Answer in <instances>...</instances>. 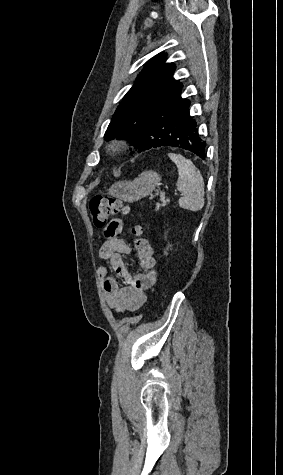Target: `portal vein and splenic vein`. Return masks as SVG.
I'll return each instance as SVG.
<instances>
[{
    "instance_id": "1",
    "label": "portal vein and splenic vein",
    "mask_w": 283,
    "mask_h": 475,
    "mask_svg": "<svg viewBox=\"0 0 283 475\" xmlns=\"http://www.w3.org/2000/svg\"><path fill=\"white\" fill-rule=\"evenodd\" d=\"M173 194H174L175 198H177V199L180 198V196H181V195H180V191H179L178 189H175V190L173 191Z\"/></svg>"
}]
</instances>
